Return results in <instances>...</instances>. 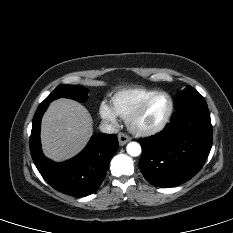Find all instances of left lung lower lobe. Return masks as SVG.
<instances>
[{
  "mask_svg": "<svg viewBox=\"0 0 233 233\" xmlns=\"http://www.w3.org/2000/svg\"><path fill=\"white\" fill-rule=\"evenodd\" d=\"M139 141L140 170L152 185L167 188L188 181L203 167L212 147L207 104L176 111L163 131Z\"/></svg>",
  "mask_w": 233,
  "mask_h": 233,
  "instance_id": "1",
  "label": "left lung lower lobe"
}]
</instances>
